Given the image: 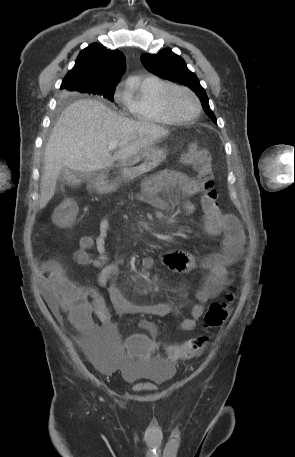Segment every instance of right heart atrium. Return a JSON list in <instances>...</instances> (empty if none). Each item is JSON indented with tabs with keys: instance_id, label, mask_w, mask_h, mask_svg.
<instances>
[{
	"instance_id": "obj_1",
	"label": "right heart atrium",
	"mask_w": 295,
	"mask_h": 457,
	"mask_svg": "<svg viewBox=\"0 0 295 457\" xmlns=\"http://www.w3.org/2000/svg\"><path fill=\"white\" fill-rule=\"evenodd\" d=\"M115 97H116L117 99H123V94H122V92H121L120 89H117V90H116V92H115Z\"/></svg>"
}]
</instances>
